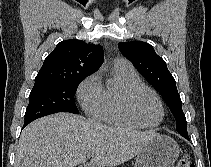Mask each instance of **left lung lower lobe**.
I'll return each mask as SVG.
<instances>
[{"instance_id":"left-lung-lower-lobe-1","label":"left lung lower lobe","mask_w":211,"mask_h":167,"mask_svg":"<svg viewBox=\"0 0 211 167\" xmlns=\"http://www.w3.org/2000/svg\"><path fill=\"white\" fill-rule=\"evenodd\" d=\"M184 138H186V139H188L189 137H188V134H186V135H182Z\"/></svg>"}]
</instances>
